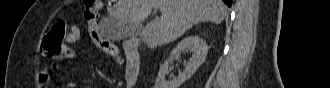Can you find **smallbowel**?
<instances>
[{
    "mask_svg": "<svg viewBox=\"0 0 330 88\" xmlns=\"http://www.w3.org/2000/svg\"><path fill=\"white\" fill-rule=\"evenodd\" d=\"M80 38V30L76 25L70 24L67 26V36L64 41V51L63 55L57 60L58 62L65 61L67 59L73 58L75 56V49L72 47L73 44H75ZM107 54L118 58L119 57V50L117 47H114V49L105 51ZM118 55V56H116ZM128 65V63H127ZM128 67V66H127ZM52 67H45L40 71L38 81L40 85L46 86L50 80H51V72ZM76 84L73 81H69L66 84L67 88H74Z\"/></svg>",
    "mask_w": 330,
    "mask_h": 88,
    "instance_id": "small-bowel-1",
    "label": "small bowel"
}]
</instances>
